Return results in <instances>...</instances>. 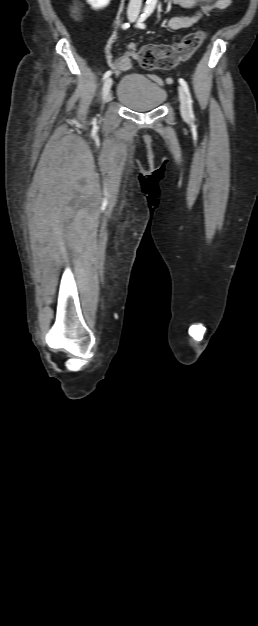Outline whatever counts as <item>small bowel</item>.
I'll return each mask as SVG.
<instances>
[{"label":"small bowel","mask_w":258,"mask_h":626,"mask_svg":"<svg viewBox=\"0 0 258 626\" xmlns=\"http://www.w3.org/2000/svg\"><path fill=\"white\" fill-rule=\"evenodd\" d=\"M173 4L180 5L184 8H198L197 12L191 16L179 15L172 17L168 20L167 26L172 30L186 29L200 21L203 16L213 11H221L226 9L232 2V0H171ZM105 53L110 66L117 71H125L131 65V60L128 55H123L119 58L115 57L114 43L109 42L105 48ZM149 78L158 85H164V83L171 84L173 80L166 78L163 80L156 74H149Z\"/></svg>","instance_id":"obj_1"}]
</instances>
